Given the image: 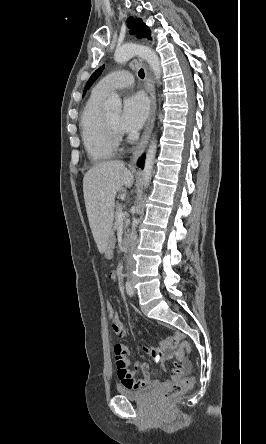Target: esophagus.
<instances>
[{"mask_svg": "<svg viewBox=\"0 0 266 444\" xmlns=\"http://www.w3.org/2000/svg\"><path fill=\"white\" fill-rule=\"evenodd\" d=\"M147 84H148V93L150 97V113L148 117V121L146 123L145 129L142 133V136L140 140L137 142V144L132 148V156L130 159V165H135L138 158L141 156L143 151L146 148V145L149 141V138L151 136L153 127H154V121H155V114H156V95H155V88L153 79L151 76V73L148 72L147 74Z\"/></svg>", "mask_w": 266, "mask_h": 444, "instance_id": "obj_1", "label": "esophagus"}]
</instances>
